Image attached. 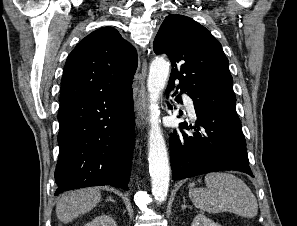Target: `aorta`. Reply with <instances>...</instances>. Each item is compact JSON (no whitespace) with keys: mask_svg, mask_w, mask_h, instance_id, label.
I'll return each instance as SVG.
<instances>
[{"mask_svg":"<svg viewBox=\"0 0 297 226\" xmlns=\"http://www.w3.org/2000/svg\"><path fill=\"white\" fill-rule=\"evenodd\" d=\"M170 65L164 58H156L150 65L148 76L149 111V172L152 179V194L159 203L165 201L170 180V167L165 140L160 127V109L158 101L169 76Z\"/></svg>","mask_w":297,"mask_h":226,"instance_id":"1","label":"aorta"}]
</instances>
